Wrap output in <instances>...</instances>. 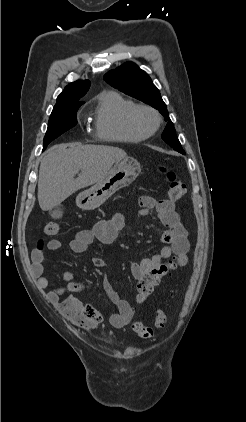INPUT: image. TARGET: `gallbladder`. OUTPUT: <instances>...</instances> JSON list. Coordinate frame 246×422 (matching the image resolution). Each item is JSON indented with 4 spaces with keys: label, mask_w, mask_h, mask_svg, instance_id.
<instances>
[{
    "label": "gallbladder",
    "mask_w": 246,
    "mask_h": 422,
    "mask_svg": "<svg viewBox=\"0 0 246 422\" xmlns=\"http://www.w3.org/2000/svg\"><path fill=\"white\" fill-rule=\"evenodd\" d=\"M62 210L59 208V207H56V208H54V209H52L51 211H50V215L52 216V218H54V219H59V218H61L62 217Z\"/></svg>",
    "instance_id": "gallbladder-1"
}]
</instances>
